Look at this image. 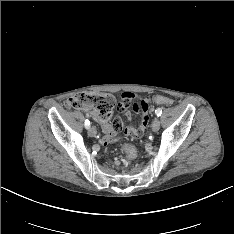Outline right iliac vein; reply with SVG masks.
Here are the masks:
<instances>
[{"label": "right iliac vein", "instance_id": "obj_1", "mask_svg": "<svg viewBox=\"0 0 234 234\" xmlns=\"http://www.w3.org/2000/svg\"><path fill=\"white\" fill-rule=\"evenodd\" d=\"M88 134H89L91 137H95L96 134H97V130H96L94 127H90L89 130H88Z\"/></svg>", "mask_w": 234, "mask_h": 234}]
</instances>
